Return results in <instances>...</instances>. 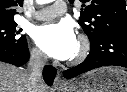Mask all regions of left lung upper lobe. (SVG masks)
<instances>
[{
	"instance_id": "obj_1",
	"label": "left lung upper lobe",
	"mask_w": 127,
	"mask_h": 92,
	"mask_svg": "<svg viewBox=\"0 0 127 92\" xmlns=\"http://www.w3.org/2000/svg\"><path fill=\"white\" fill-rule=\"evenodd\" d=\"M71 3L73 0H69ZM81 16L78 21L90 42L103 33L127 34L125 0H80Z\"/></svg>"
}]
</instances>
